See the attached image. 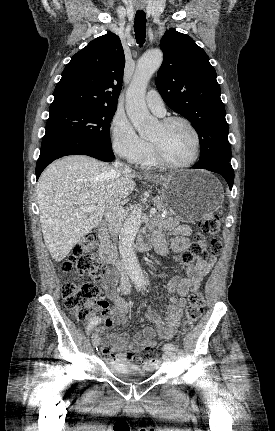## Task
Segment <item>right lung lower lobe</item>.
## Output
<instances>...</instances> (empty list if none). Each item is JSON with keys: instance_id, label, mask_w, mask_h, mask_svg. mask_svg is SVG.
<instances>
[{"instance_id": "right-lung-lower-lobe-1", "label": "right lung lower lobe", "mask_w": 275, "mask_h": 431, "mask_svg": "<svg viewBox=\"0 0 275 431\" xmlns=\"http://www.w3.org/2000/svg\"><path fill=\"white\" fill-rule=\"evenodd\" d=\"M67 155H88L106 162L114 159L112 149L89 140L69 137L43 139L35 170L36 178L52 161Z\"/></svg>"}]
</instances>
